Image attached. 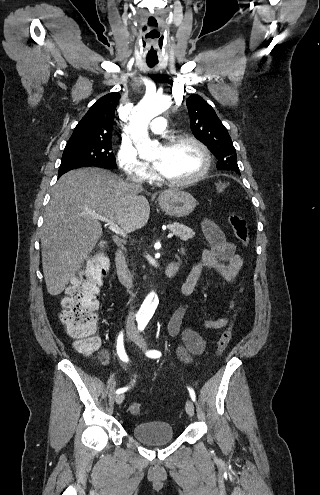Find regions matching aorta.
Here are the masks:
<instances>
[{
    "label": "aorta",
    "instance_id": "762f6f07",
    "mask_svg": "<svg viewBox=\"0 0 320 495\" xmlns=\"http://www.w3.org/2000/svg\"><path fill=\"white\" fill-rule=\"evenodd\" d=\"M172 102L167 96L146 95L132 110L129 117V132L133 144L141 158H153L159 150V144L150 139L148 125L150 121L165 112ZM158 305V298L150 293L142 304L143 312L152 316Z\"/></svg>",
    "mask_w": 320,
    "mask_h": 495
}]
</instances>
